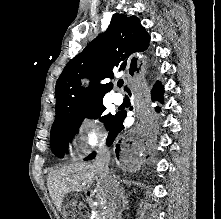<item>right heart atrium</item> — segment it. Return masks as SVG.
I'll return each mask as SVG.
<instances>
[{"instance_id":"d8ad5b80","label":"right heart atrium","mask_w":221,"mask_h":219,"mask_svg":"<svg viewBox=\"0 0 221 219\" xmlns=\"http://www.w3.org/2000/svg\"><path fill=\"white\" fill-rule=\"evenodd\" d=\"M106 133L98 118L86 117L80 123L75 140L85 148L95 147L104 142Z\"/></svg>"}]
</instances>
